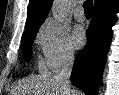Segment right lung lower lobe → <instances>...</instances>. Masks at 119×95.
<instances>
[{
  "instance_id": "1",
  "label": "right lung lower lobe",
  "mask_w": 119,
  "mask_h": 95,
  "mask_svg": "<svg viewBox=\"0 0 119 95\" xmlns=\"http://www.w3.org/2000/svg\"><path fill=\"white\" fill-rule=\"evenodd\" d=\"M118 12L119 0L94 11L86 32L87 44L76 56L71 81L86 95H97Z\"/></svg>"
}]
</instances>
